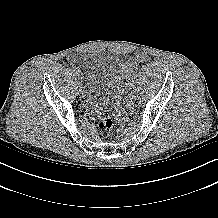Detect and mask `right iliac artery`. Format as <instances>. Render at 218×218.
<instances>
[{
  "mask_svg": "<svg viewBox=\"0 0 218 218\" xmlns=\"http://www.w3.org/2000/svg\"><path fill=\"white\" fill-rule=\"evenodd\" d=\"M72 71H73L74 73H76V75L78 74L76 68H72ZM78 75H79V74H78Z\"/></svg>",
  "mask_w": 218,
  "mask_h": 218,
  "instance_id": "right-iliac-artery-1",
  "label": "right iliac artery"
}]
</instances>
